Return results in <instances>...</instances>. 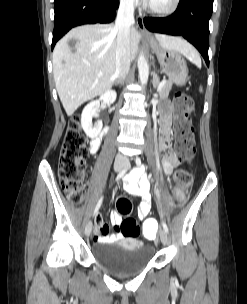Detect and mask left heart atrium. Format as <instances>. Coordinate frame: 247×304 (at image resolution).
Here are the masks:
<instances>
[{
  "mask_svg": "<svg viewBox=\"0 0 247 304\" xmlns=\"http://www.w3.org/2000/svg\"><path fill=\"white\" fill-rule=\"evenodd\" d=\"M143 1H145V2L149 3L151 0H143Z\"/></svg>",
  "mask_w": 247,
  "mask_h": 304,
  "instance_id": "1",
  "label": "left heart atrium"
}]
</instances>
